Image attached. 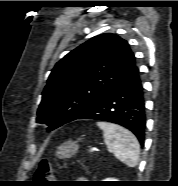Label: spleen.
I'll list each match as a JSON object with an SVG mask.
<instances>
[{
    "instance_id": "spleen-1",
    "label": "spleen",
    "mask_w": 178,
    "mask_h": 186,
    "mask_svg": "<svg viewBox=\"0 0 178 186\" xmlns=\"http://www.w3.org/2000/svg\"><path fill=\"white\" fill-rule=\"evenodd\" d=\"M97 126L103 131L105 143L114 156L128 167H136L140 153L136 137L129 130L113 123L98 121Z\"/></svg>"
}]
</instances>
